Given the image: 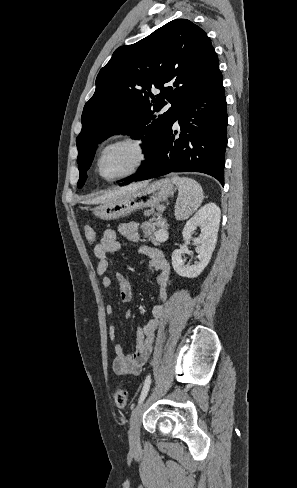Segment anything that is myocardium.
<instances>
[{"label": "myocardium", "instance_id": "1", "mask_svg": "<svg viewBox=\"0 0 297 488\" xmlns=\"http://www.w3.org/2000/svg\"><path fill=\"white\" fill-rule=\"evenodd\" d=\"M123 143H130V144H133L134 146H136L137 149L139 150V154H140L139 158H138L137 162L126 172L119 174L117 176H114V177H106L103 174L102 165H101L103 156L107 152V150H109L110 148H112L116 145H119V144H123ZM150 156H151V151H150L149 144L143 137L137 136V135L122 136V137L116 138V139L110 141L109 143H107L99 152V155L97 158L98 173L106 181H109V182L118 181L120 179L129 177V176L139 172L141 169H143L147 165V163L149 162Z\"/></svg>", "mask_w": 297, "mask_h": 488}]
</instances>
